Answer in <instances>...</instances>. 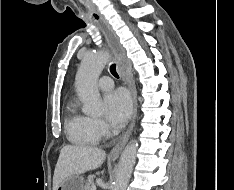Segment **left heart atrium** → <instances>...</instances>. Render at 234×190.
<instances>
[{
  "instance_id": "39dd6f15",
  "label": "left heart atrium",
  "mask_w": 234,
  "mask_h": 190,
  "mask_svg": "<svg viewBox=\"0 0 234 190\" xmlns=\"http://www.w3.org/2000/svg\"><path fill=\"white\" fill-rule=\"evenodd\" d=\"M104 106L107 120L115 126H120L127 121L131 113V97L124 89L111 91L104 97Z\"/></svg>"
}]
</instances>
